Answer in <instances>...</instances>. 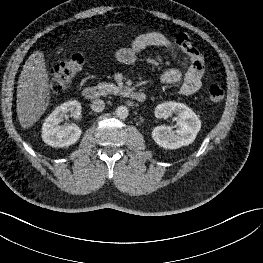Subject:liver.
I'll return each instance as SVG.
<instances>
[{"label":"liver","instance_id":"liver-1","mask_svg":"<svg viewBox=\"0 0 263 263\" xmlns=\"http://www.w3.org/2000/svg\"><path fill=\"white\" fill-rule=\"evenodd\" d=\"M50 100L49 76L42 51L32 53L19 76L16 111L23 129L33 126L46 111Z\"/></svg>","mask_w":263,"mask_h":263}]
</instances>
